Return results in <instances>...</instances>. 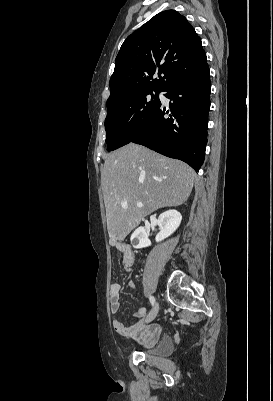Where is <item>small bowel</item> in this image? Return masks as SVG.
Here are the masks:
<instances>
[{"mask_svg":"<svg viewBox=\"0 0 273 401\" xmlns=\"http://www.w3.org/2000/svg\"><path fill=\"white\" fill-rule=\"evenodd\" d=\"M112 247L121 253L124 270L130 272L133 270L135 265V255L132 249L121 241H114L111 243ZM130 288L135 287L133 281L128 282ZM121 286L117 282H112L109 287V298H110V311L112 314H118L121 310V299H120ZM147 309L145 307L138 308L134 317L138 319V322L127 326L121 320L114 319L112 321L113 329L119 335L132 339L138 343H141L147 347L155 345L161 336V329L156 324L149 322L146 319Z\"/></svg>","mask_w":273,"mask_h":401,"instance_id":"1","label":"small bowel"}]
</instances>
